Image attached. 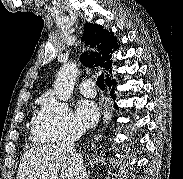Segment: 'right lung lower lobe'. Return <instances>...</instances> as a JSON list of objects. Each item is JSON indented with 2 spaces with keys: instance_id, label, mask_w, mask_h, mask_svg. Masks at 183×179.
<instances>
[{
  "instance_id": "right-lung-lower-lobe-1",
  "label": "right lung lower lobe",
  "mask_w": 183,
  "mask_h": 179,
  "mask_svg": "<svg viewBox=\"0 0 183 179\" xmlns=\"http://www.w3.org/2000/svg\"><path fill=\"white\" fill-rule=\"evenodd\" d=\"M106 83H107L108 87L110 89H112V91H111V97L114 99L115 98V95H113V93H114V90L113 89H114V85L116 84V82H115V80H110V81H108ZM115 108L118 109V107H117L116 104H115Z\"/></svg>"
}]
</instances>
